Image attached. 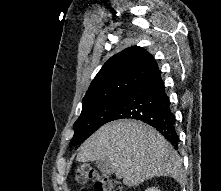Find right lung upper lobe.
<instances>
[{
	"label": "right lung upper lobe",
	"instance_id": "obj_1",
	"mask_svg": "<svg viewBox=\"0 0 221 191\" xmlns=\"http://www.w3.org/2000/svg\"><path fill=\"white\" fill-rule=\"evenodd\" d=\"M159 71L151 54L133 46L112 56L97 73L82 107L125 96L133 87Z\"/></svg>",
	"mask_w": 221,
	"mask_h": 191
}]
</instances>
